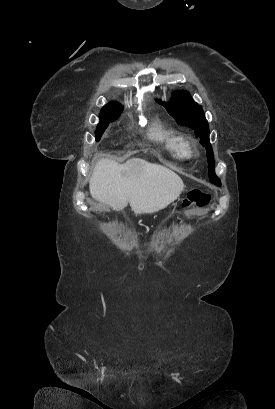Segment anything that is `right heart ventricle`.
Masks as SVG:
<instances>
[{"mask_svg":"<svg viewBox=\"0 0 275 409\" xmlns=\"http://www.w3.org/2000/svg\"><path fill=\"white\" fill-rule=\"evenodd\" d=\"M149 138L160 145L173 157H183V148L186 139L183 135L173 129H168L160 123H155L149 131Z\"/></svg>","mask_w":275,"mask_h":409,"instance_id":"obj_1","label":"right heart ventricle"}]
</instances>
